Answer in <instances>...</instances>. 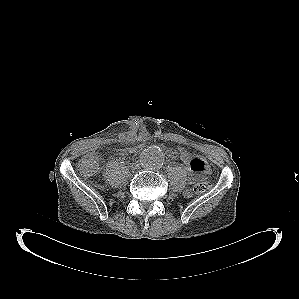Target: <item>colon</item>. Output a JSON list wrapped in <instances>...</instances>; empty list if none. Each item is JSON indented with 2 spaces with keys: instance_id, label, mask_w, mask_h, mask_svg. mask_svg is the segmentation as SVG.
<instances>
[{
  "instance_id": "5ec220e1",
  "label": "colon",
  "mask_w": 299,
  "mask_h": 299,
  "mask_svg": "<svg viewBox=\"0 0 299 299\" xmlns=\"http://www.w3.org/2000/svg\"><path fill=\"white\" fill-rule=\"evenodd\" d=\"M176 154L179 159L188 166L193 160L194 154L185 149L182 146L176 147ZM78 171L86 177L94 175L98 170V163L96 155L93 153H84L82 154L77 162ZM211 188V184L209 182H199L194 186V191L197 194H202L207 192Z\"/></svg>"
}]
</instances>
